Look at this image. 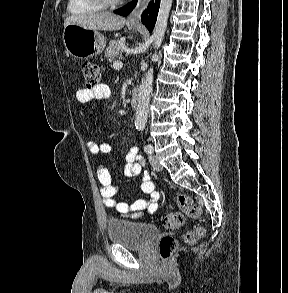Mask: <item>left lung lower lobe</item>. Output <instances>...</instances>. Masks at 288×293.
Wrapping results in <instances>:
<instances>
[{
	"instance_id": "0a47b994",
	"label": "left lung lower lobe",
	"mask_w": 288,
	"mask_h": 293,
	"mask_svg": "<svg viewBox=\"0 0 288 293\" xmlns=\"http://www.w3.org/2000/svg\"><path fill=\"white\" fill-rule=\"evenodd\" d=\"M159 2H160L159 0H155V2L154 1L150 2V4L148 5V8L142 14L141 21L150 32H152L156 19H157V14L159 10ZM136 3H137V0H134L130 2L129 4H127L126 6L115 10L114 13L122 15V16L129 15L131 11L135 8Z\"/></svg>"
}]
</instances>
